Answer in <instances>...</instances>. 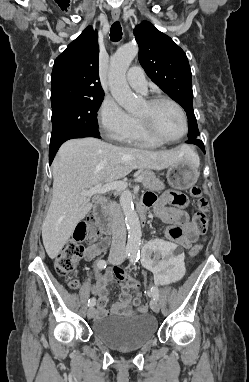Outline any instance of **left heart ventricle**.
<instances>
[{
	"mask_svg": "<svg viewBox=\"0 0 249 382\" xmlns=\"http://www.w3.org/2000/svg\"><path fill=\"white\" fill-rule=\"evenodd\" d=\"M137 117L150 120L156 132L164 138H176L183 132V122L179 112L168 103H160L154 107L144 103Z\"/></svg>",
	"mask_w": 249,
	"mask_h": 382,
	"instance_id": "b2bd125f",
	"label": "left heart ventricle"
}]
</instances>
